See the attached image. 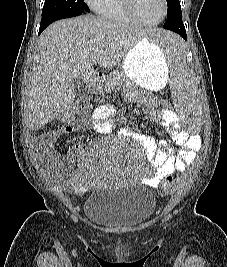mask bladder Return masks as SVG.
<instances>
[{
    "label": "bladder",
    "mask_w": 227,
    "mask_h": 267,
    "mask_svg": "<svg viewBox=\"0 0 227 267\" xmlns=\"http://www.w3.org/2000/svg\"><path fill=\"white\" fill-rule=\"evenodd\" d=\"M156 208L154 195L141 185L119 188H93L84 203L87 219L109 229L144 224Z\"/></svg>",
    "instance_id": "31cf9c89"
}]
</instances>
